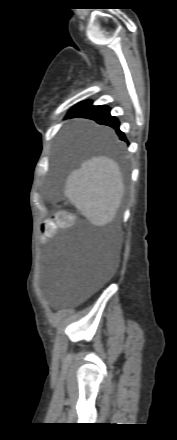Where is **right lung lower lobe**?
<instances>
[{
	"mask_svg": "<svg viewBox=\"0 0 177 440\" xmlns=\"http://www.w3.org/2000/svg\"><path fill=\"white\" fill-rule=\"evenodd\" d=\"M69 117H84L95 120L98 124L110 126L116 129V132L121 140L127 141L124 133L119 130V121L116 117L110 115V109L105 105H90L74 114H71Z\"/></svg>",
	"mask_w": 177,
	"mask_h": 440,
	"instance_id": "right-lung-lower-lobe-1",
	"label": "right lung lower lobe"
}]
</instances>
